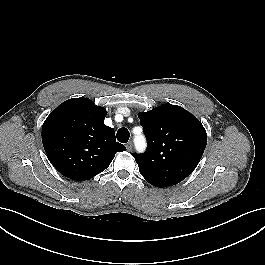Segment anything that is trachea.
Masks as SVG:
<instances>
[{"instance_id": "obj_1", "label": "trachea", "mask_w": 265, "mask_h": 265, "mask_svg": "<svg viewBox=\"0 0 265 265\" xmlns=\"http://www.w3.org/2000/svg\"><path fill=\"white\" fill-rule=\"evenodd\" d=\"M129 137H130V133L126 128L123 127L117 131V140L119 142L126 143L128 142Z\"/></svg>"}]
</instances>
